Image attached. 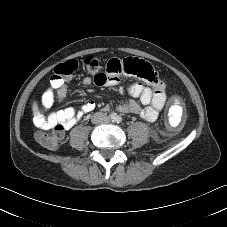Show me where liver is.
<instances>
[{
	"label": "liver",
	"mask_w": 227,
	"mask_h": 227,
	"mask_svg": "<svg viewBox=\"0 0 227 227\" xmlns=\"http://www.w3.org/2000/svg\"><path fill=\"white\" fill-rule=\"evenodd\" d=\"M32 111H33L34 114L39 113L38 104L36 102H33V104H32Z\"/></svg>",
	"instance_id": "6515ba94"
}]
</instances>
